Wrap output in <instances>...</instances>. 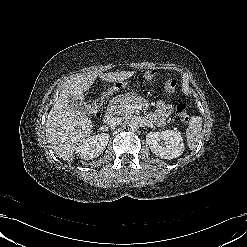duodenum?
<instances>
[{
  "label": "duodenum",
  "mask_w": 247,
  "mask_h": 247,
  "mask_svg": "<svg viewBox=\"0 0 247 247\" xmlns=\"http://www.w3.org/2000/svg\"><path fill=\"white\" fill-rule=\"evenodd\" d=\"M113 115V110L110 109L106 112V120H109V118Z\"/></svg>",
  "instance_id": "duodenum-1"
}]
</instances>
